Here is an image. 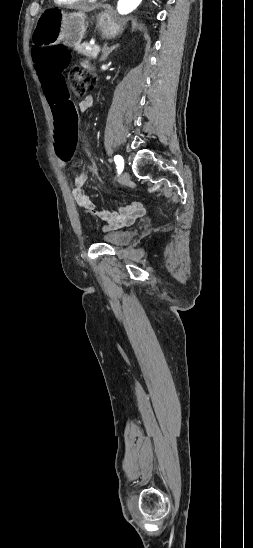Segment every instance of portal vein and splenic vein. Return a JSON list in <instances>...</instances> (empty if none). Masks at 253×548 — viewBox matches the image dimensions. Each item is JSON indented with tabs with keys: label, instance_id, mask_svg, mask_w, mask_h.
Masks as SVG:
<instances>
[{
	"label": "portal vein and splenic vein",
	"instance_id": "1",
	"mask_svg": "<svg viewBox=\"0 0 253 548\" xmlns=\"http://www.w3.org/2000/svg\"><path fill=\"white\" fill-rule=\"evenodd\" d=\"M95 50H96L97 52H99V51H100V47H99V46H96Z\"/></svg>",
	"mask_w": 253,
	"mask_h": 548
}]
</instances>
